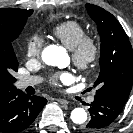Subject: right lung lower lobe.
Here are the masks:
<instances>
[{
  "label": "right lung lower lobe",
  "instance_id": "obj_1",
  "mask_svg": "<svg viewBox=\"0 0 133 133\" xmlns=\"http://www.w3.org/2000/svg\"><path fill=\"white\" fill-rule=\"evenodd\" d=\"M46 103L45 98L27 96L21 90L9 92L0 100V132L18 133L27 129Z\"/></svg>",
  "mask_w": 133,
  "mask_h": 133
}]
</instances>
